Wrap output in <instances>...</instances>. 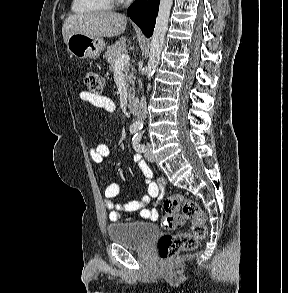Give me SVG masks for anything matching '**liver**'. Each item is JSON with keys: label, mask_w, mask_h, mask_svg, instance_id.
Here are the masks:
<instances>
[{"label": "liver", "mask_w": 288, "mask_h": 293, "mask_svg": "<svg viewBox=\"0 0 288 293\" xmlns=\"http://www.w3.org/2000/svg\"><path fill=\"white\" fill-rule=\"evenodd\" d=\"M126 24L125 15L110 11L75 14L65 19L62 35L65 43L73 33L110 38L121 35L126 29Z\"/></svg>", "instance_id": "1"}]
</instances>
